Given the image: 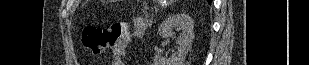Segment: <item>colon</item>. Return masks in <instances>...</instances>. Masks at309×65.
<instances>
[{"mask_svg": "<svg viewBox=\"0 0 309 65\" xmlns=\"http://www.w3.org/2000/svg\"><path fill=\"white\" fill-rule=\"evenodd\" d=\"M126 31V25L119 22L106 26H89L82 31L81 41L86 49L97 55L115 45Z\"/></svg>", "mask_w": 309, "mask_h": 65, "instance_id": "1", "label": "colon"}]
</instances>
